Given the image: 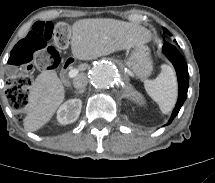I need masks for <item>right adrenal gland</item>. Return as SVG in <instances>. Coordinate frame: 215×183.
I'll list each match as a JSON object with an SVG mask.
<instances>
[{
    "label": "right adrenal gland",
    "mask_w": 215,
    "mask_h": 183,
    "mask_svg": "<svg viewBox=\"0 0 215 183\" xmlns=\"http://www.w3.org/2000/svg\"><path fill=\"white\" fill-rule=\"evenodd\" d=\"M85 91V89H80V90H77V91H74L75 94H83Z\"/></svg>",
    "instance_id": "2a0ac1e0"
}]
</instances>
